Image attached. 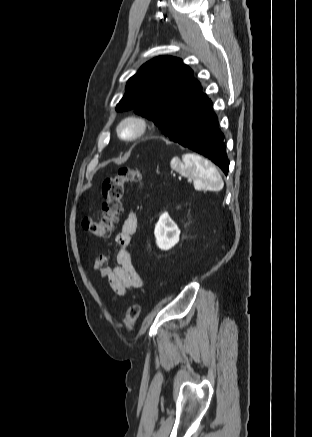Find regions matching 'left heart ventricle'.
<instances>
[{
    "label": "left heart ventricle",
    "instance_id": "left-heart-ventricle-1",
    "mask_svg": "<svg viewBox=\"0 0 312 437\" xmlns=\"http://www.w3.org/2000/svg\"><path fill=\"white\" fill-rule=\"evenodd\" d=\"M134 126L133 125H128L126 128H125V134H130V133H132L133 131H134Z\"/></svg>",
    "mask_w": 312,
    "mask_h": 437
}]
</instances>
